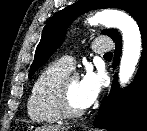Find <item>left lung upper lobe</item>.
<instances>
[{"mask_svg":"<svg viewBox=\"0 0 147 131\" xmlns=\"http://www.w3.org/2000/svg\"><path fill=\"white\" fill-rule=\"evenodd\" d=\"M102 8L125 10L136 19L139 26L147 20V0H79L54 14L45 25L28 77L31 78L60 47L68 26L77 16L92 9ZM102 33L114 41L121 39L115 29H105Z\"/></svg>","mask_w":147,"mask_h":131,"instance_id":"1","label":"left lung upper lobe"}]
</instances>
